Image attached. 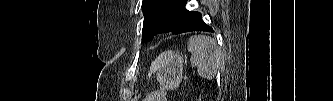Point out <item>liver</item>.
Wrapping results in <instances>:
<instances>
[{
  "label": "liver",
  "mask_w": 333,
  "mask_h": 101,
  "mask_svg": "<svg viewBox=\"0 0 333 101\" xmlns=\"http://www.w3.org/2000/svg\"><path fill=\"white\" fill-rule=\"evenodd\" d=\"M159 69V61L157 59V61H155L154 63H152L151 67H150V73H152L153 71H156Z\"/></svg>",
  "instance_id": "6515ba94"
}]
</instances>
